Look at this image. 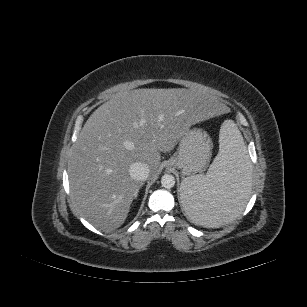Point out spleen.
<instances>
[{"mask_svg":"<svg viewBox=\"0 0 307 307\" xmlns=\"http://www.w3.org/2000/svg\"><path fill=\"white\" fill-rule=\"evenodd\" d=\"M251 192V166L243 138L232 120L223 122L219 152L205 175L186 177L180 197L196 224L216 228L237 218Z\"/></svg>","mask_w":307,"mask_h":307,"instance_id":"spleen-1","label":"spleen"}]
</instances>
